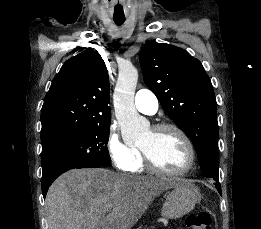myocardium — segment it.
Segmentation results:
<instances>
[{
  "mask_svg": "<svg viewBox=\"0 0 261 229\" xmlns=\"http://www.w3.org/2000/svg\"><path fill=\"white\" fill-rule=\"evenodd\" d=\"M166 130H171V131H174L175 133H177L181 137V139L183 140V142L186 146V149L188 152V162L183 169H181L179 171L165 170V169L161 168L159 165H157L155 163V161L152 159V157L150 156V154L148 153V151L141 146H139L140 152L142 154L145 166L147 167V169L149 171H151L155 174H158V175H162V176H169V177L182 176V175L188 173L194 166V163H195L194 146H193L190 138L188 137V135L180 127H178L176 125L163 123V124H159V125H156L151 128V132L154 135L159 134Z\"/></svg>",
  "mask_w": 261,
  "mask_h": 229,
  "instance_id": "1",
  "label": "myocardium"
}]
</instances>
